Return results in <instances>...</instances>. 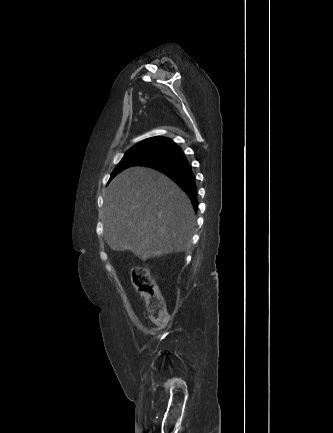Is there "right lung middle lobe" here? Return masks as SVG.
I'll return each instance as SVG.
<instances>
[{
    "label": "right lung middle lobe",
    "instance_id": "1",
    "mask_svg": "<svg viewBox=\"0 0 333 433\" xmlns=\"http://www.w3.org/2000/svg\"><path fill=\"white\" fill-rule=\"evenodd\" d=\"M171 151V148L164 146L161 141L152 140L141 142L130 148L125 153L123 159L120 161V163L116 166L113 173L111 174L109 182L112 180L113 177H115L125 168L149 163L151 161L168 155Z\"/></svg>",
    "mask_w": 333,
    "mask_h": 433
}]
</instances>
